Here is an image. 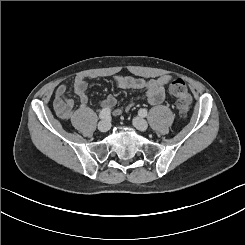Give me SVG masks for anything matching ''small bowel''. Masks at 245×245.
Instances as JSON below:
<instances>
[{
	"label": "small bowel",
	"instance_id": "1",
	"mask_svg": "<svg viewBox=\"0 0 245 245\" xmlns=\"http://www.w3.org/2000/svg\"><path fill=\"white\" fill-rule=\"evenodd\" d=\"M171 77L168 75H163L154 79H143L135 78L132 76H115L114 81L116 85L124 90H139L144 91L146 95V100L151 105H158L162 103L165 99V86L168 85ZM88 84L84 77L78 76L74 80L73 90L74 93L79 98L81 104L85 105L88 102L87 95ZM117 100L115 96L109 95L102 103L101 107L103 109L113 110ZM132 104L126 107V110L130 109ZM54 108L57 115L64 120H71L74 122L80 111L74 110V102L68 96L67 87L64 84L57 86L55 91ZM115 114L121 113L120 109L114 110Z\"/></svg>",
	"mask_w": 245,
	"mask_h": 245
}]
</instances>
